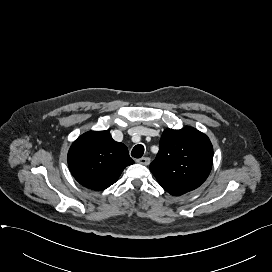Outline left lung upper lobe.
<instances>
[{"label":"left lung upper lobe","instance_id":"1","mask_svg":"<svg viewBox=\"0 0 272 272\" xmlns=\"http://www.w3.org/2000/svg\"><path fill=\"white\" fill-rule=\"evenodd\" d=\"M212 160L209 138L186 126L163 132L159 152L149 168L168 193L179 196L198 188L207 179Z\"/></svg>","mask_w":272,"mask_h":272}]
</instances>
